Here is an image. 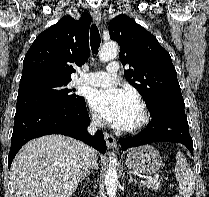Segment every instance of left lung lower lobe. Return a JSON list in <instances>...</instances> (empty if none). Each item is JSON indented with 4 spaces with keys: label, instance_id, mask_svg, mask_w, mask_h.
<instances>
[{
    "label": "left lung lower lobe",
    "instance_id": "obj_1",
    "mask_svg": "<svg viewBox=\"0 0 209 197\" xmlns=\"http://www.w3.org/2000/svg\"><path fill=\"white\" fill-rule=\"evenodd\" d=\"M183 100L164 101L156 104L149 112L152 120L138 135L121 138L123 150L152 142L168 141L184 144L193 154V141L184 112Z\"/></svg>",
    "mask_w": 209,
    "mask_h": 197
}]
</instances>
